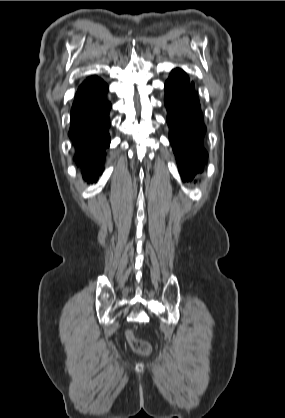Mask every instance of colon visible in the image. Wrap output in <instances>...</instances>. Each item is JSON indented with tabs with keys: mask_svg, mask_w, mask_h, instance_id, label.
<instances>
[{
	"mask_svg": "<svg viewBox=\"0 0 285 418\" xmlns=\"http://www.w3.org/2000/svg\"><path fill=\"white\" fill-rule=\"evenodd\" d=\"M126 340L131 348L141 354L148 355L151 352L150 343L142 338L137 337L132 330L128 329L125 333Z\"/></svg>",
	"mask_w": 285,
	"mask_h": 418,
	"instance_id": "obj_1",
	"label": "colon"
}]
</instances>
